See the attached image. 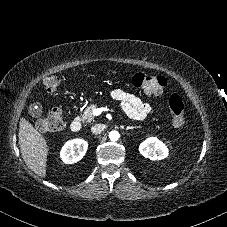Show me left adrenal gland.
Returning <instances> with one entry per match:
<instances>
[{
	"instance_id": "1",
	"label": "left adrenal gland",
	"mask_w": 227,
	"mask_h": 227,
	"mask_svg": "<svg viewBox=\"0 0 227 227\" xmlns=\"http://www.w3.org/2000/svg\"><path fill=\"white\" fill-rule=\"evenodd\" d=\"M136 128H138V127L137 126H128V127H126V130L136 129Z\"/></svg>"
}]
</instances>
